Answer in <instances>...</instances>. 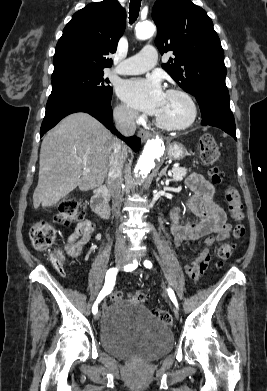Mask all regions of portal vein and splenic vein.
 Listing matches in <instances>:
<instances>
[{"instance_id": "obj_1", "label": "portal vein and splenic vein", "mask_w": 267, "mask_h": 391, "mask_svg": "<svg viewBox=\"0 0 267 391\" xmlns=\"http://www.w3.org/2000/svg\"><path fill=\"white\" fill-rule=\"evenodd\" d=\"M86 165V164H85ZM175 167V166H174ZM84 171H89V169L88 168H84Z\"/></svg>"}]
</instances>
